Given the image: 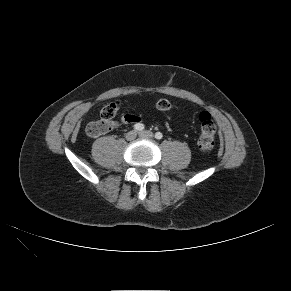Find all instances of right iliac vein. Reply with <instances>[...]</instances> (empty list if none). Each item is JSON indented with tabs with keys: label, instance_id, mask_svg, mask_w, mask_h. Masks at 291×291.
I'll return each mask as SVG.
<instances>
[{
	"label": "right iliac vein",
	"instance_id": "1",
	"mask_svg": "<svg viewBox=\"0 0 291 291\" xmlns=\"http://www.w3.org/2000/svg\"><path fill=\"white\" fill-rule=\"evenodd\" d=\"M136 136H137V132L135 130H132V131H129L125 137L128 141H132L136 138Z\"/></svg>",
	"mask_w": 291,
	"mask_h": 291
}]
</instances>
